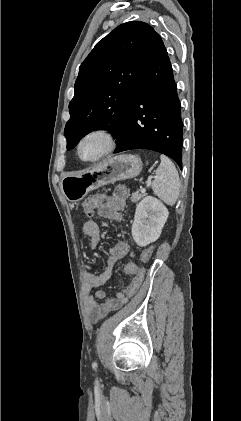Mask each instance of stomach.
Masks as SVG:
<instances>
[{"mask_svg": "<svg viewBox=\"0 0 241 421\" xmlns=\"http://www.w3.org/2000/svg\"><path fill=\"white\" fill-rule=\"evenodd\" d=\"M143 163L138 156L122 154L110 157L81 174H67L60 183L62 193L70 203L82 200L89 191L102 185L136 177Z\"/></svg>", "mask_w": 241, "mask_h": 421, "instance_id": "1", "label": "stomach"}]
</instances>
